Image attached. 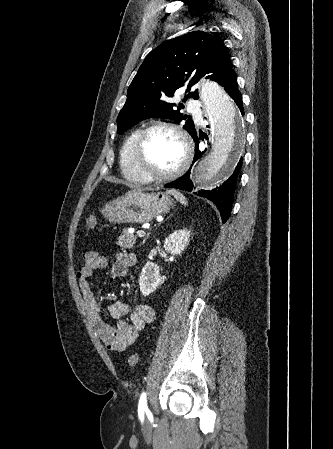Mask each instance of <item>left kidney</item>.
<instances>
[{"label":"left kidney","instance_id":"left-kidney-1","mask_svg":"<svg viewBox=\"0 0 333 449\" xmlns=\"http://www.w3.org/2000/svg\"><path fill=\"white\" fill-rule=\"evenodd\" d=\"M191 231L181 229L173 232L165 239L164 248L173 255L181 254L187 247ZM166 280V276H160L159 268L155 263L147 262L139 277L140 291L143 296H148Z\"/></svg>","mask_w":333,"mask_h":449}]
</instances>
